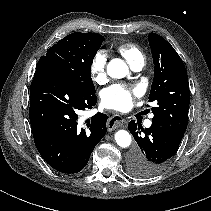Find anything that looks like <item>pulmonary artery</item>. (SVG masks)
Listing matches in <instances>:
<instances>
[{
    "label": "pulmonary artery",
    "mask_w": 211,
    "mask_h": 211,
    "mask_svg": "<svg viewBox=\"0 0 211 211\" xmlns=\"http://www.w3.org/2000/svg\"><path fill=\"white\" fill-rule=\"evenodd\" d=\"M143 64L144 63H138V64L132 66V69L134 71H140L142 69V67H143ZM151 125H152V121L150 119H148V120L145 121V126L146 127H150Z\"/></svg>",
    "instance_id": "obj_1"
}]
</instances>
